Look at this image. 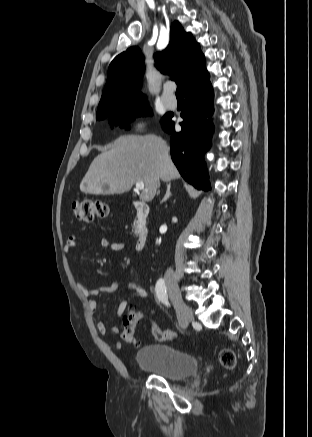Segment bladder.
Here are the masks:
<instances>
[{
	"mask_svg": "<svg viewBox=\"0 0 312 437\" xmlns=\"http://www.w3.org/2000/svg\"><path fill=\"white\" fill-rule=\"evenodd\" d=\"M139 368L170 381L185 379L198 371L196 357L166 344L143 346L136 355Z\"/></svg>",
	"mask_w": 312,
	"mask_h": 437,
	"instance_id": "bladder-1",
	"label": "bladder"
}]
</instances>
